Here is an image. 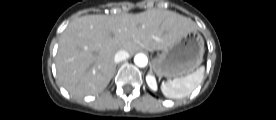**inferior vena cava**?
Instances as JSON below:
<instances>
[{"mask_svg": "<svg viewBox=\"0 0 276 120\" xmlns=\"http://www.w3.org/2000/svg\"><path fill=\"white\" fill-rule=\"evenodd\" d=\"M129 58V53L126 50H119L114 56V62L119 63Z\"/></svg>", "mask_w": 276, "mask_h": 120, "instance_id": "1", "label": "inferior vena cava"}]
</instances>
